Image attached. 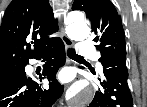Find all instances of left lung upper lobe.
Here are the masks:
<instances>
[{
	"label": "left lung upper lobe",
	"instance_id": "left-lung-upper-lobe-1",
	"mask_svg": "<svg viewBox=\"0 0 147 107\" xmlns=\"http://www.w3.org/2000/svg\"><path fill=\"white\" fill-rule=\"evenodd\" d=\"M72 10L84 11L90 19L100 62L112 55L126 56L121 18L110 0H75Z\"/></svg>",
	"mask_w": 147,
	"mask_h": 107
}]
</instances>
